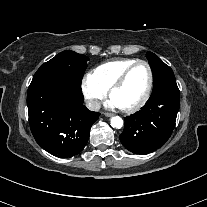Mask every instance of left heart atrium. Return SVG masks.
I'll return each instance as SVG.
<instances>
[{
    "label": "left heart atrium",
    "instance_id": "left-heart-atrium-1",
    "mask_svg": "<svg viewBox=\"0 0 207 207\" xmlns=\"http://www.w3.org/2000/svg\"><path fill=\"white\" fill-rule=\"evenodd\" d=\"M107 106L108 107H118L117 105H116V103L111 99L110 101H108L107 102Z\"/></svg>",
    "mask_w": 207,
    "mask_h": 207
}]
</instances>
